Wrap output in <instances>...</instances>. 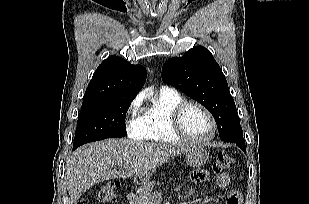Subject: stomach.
<instances>
[{
    "label": "stomach",
    "instance_id": "obj_1",
    "mask_svg": "<svg viewBox=\"0 0 309 204\" xmlns=\"http://www.w3.org/2000/svg\"><path fill=\"white\" fill-rule=\"evenodd\" d=\"M186 162L190 167H200L206 163L208 159V151L201 145H193L186 151L185 154ZM152 177V172L136 175L134 178L135 183L144 185Z\"/></svg>",
    "mask_w": 309,
    "mask_h": 204
}]
</instances>
